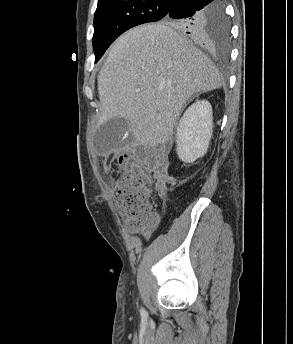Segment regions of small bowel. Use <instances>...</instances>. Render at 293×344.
Returning <instances> with one entry per match:
<instances>
[{
    "label": "small bowel",
    "mask_w": 293,
    "mask_h": 344,
    "mask_svg": "<svg viewBox=\"0 0 293 344\" xmlns=\"http://www.w3.org/2000/svg\"><path fill=\"white\" fill-rule=\"evenodd\" d=\"M158 192H159V195L162 197L164 195V187L160 185L158 188Z\"/></svg>",
    "instance_id": "1"
}]
</instances>
